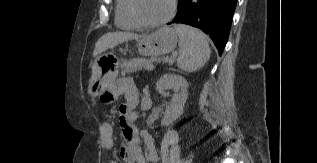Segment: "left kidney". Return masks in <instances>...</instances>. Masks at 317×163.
<instances>
[{"label":"left kidney","mask_w":317,"mask_h":163,"mask_svg":"<svg viewBox=\"0 0 317 163\" xmlns=\"http://www.w3.org/2000/svg\"><path fill=\"white\" fill-rule=\"evenodd\" d=\"M172 89L175 94L171 102L166 107L164 116L161 120L162 126L171 125L176 119L183 114L184 105L188 98V82L182 76L176 74H164L156 83V90L165 95L166 90Z\"/></svg>","instance_id":"obj_1"}]
</instances>
